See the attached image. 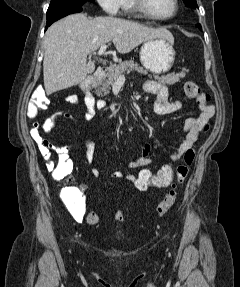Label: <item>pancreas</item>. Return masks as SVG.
I'll return each instance as SVG.
<instances>
[{
    "instance_id": "1",
    "label": "pancreas",
    "mask_w": 240,
    "mask_h": 287,
    "mask_svg": "<svg viewBox=\"0 0 240 287\" xmlns=\"http://www.w3.org/2000/svg\"><path fill=\"white\" fill-rule=\"evenodd\" d=\"M137 71L141 74H147V71L144 70L141 66L135 63L132 59L121 62L118 65H111L106 68V77L102 78L96 86V94L98 96H106L110 93L111 86L114 84L115 80L120 76L131 71ZM186 70L181 71L180 73H171L166 76H155L161 83L167 85H173L176 82H179L181 78L185 77Z\"/></svg>"
}]
</instances>
